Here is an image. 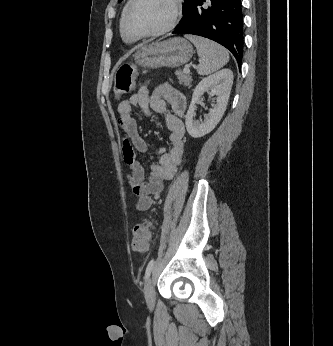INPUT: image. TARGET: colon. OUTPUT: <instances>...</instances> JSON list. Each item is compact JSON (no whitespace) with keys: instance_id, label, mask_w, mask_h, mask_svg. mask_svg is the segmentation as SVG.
Returning a JSON list of instances; mask_svg holds the SVG:
<instances>
[{"instance_id":"colon-1","label":"colon","mask_w":333,"mask_h":346,"mask_svg":"<svg viewBox=\"0 0 333 346\" xmlns=\"http://www.w3.org/2000/svg\"><path fill=\"white\" fill-rule=\"evenodd\" d=\"M135 72V66L131 64H124L119 67L115 75L114 87V92L117 97H123L131 92ZM152 228V223L148 221L134 227L131 240L133 251L145 252L148 249Z\"/></svg>"}]
</instances>
